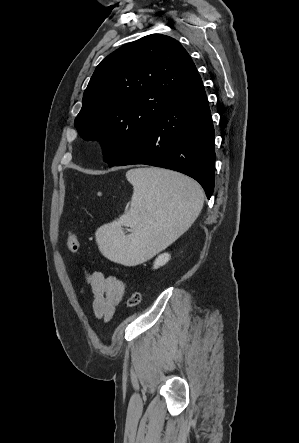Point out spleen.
Listing matches in <instances>:
<instances>
[{"instance_id":"3e777b00","label":"spleen","mask_w":299,"mask_h":443,"mask_svg":"<svg viewBox=\"0 0 299 443\" xmlns=\"http://www.w3.org/2000/svg\"><path fill=\"white\" fill-rule=\"evenodd\" d=\"M133 185L130 211L96 231L101 253L111 261L134 266L166 248L198 217L204 193L194 180L160 168L126 173ZM123 226L134 228L126 235Z\"/></svg>"}]
</instances>
